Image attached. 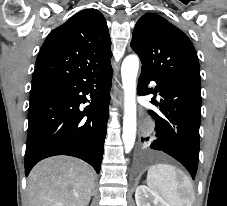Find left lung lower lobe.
Masks as SVG:
<instances>
[{
  "label": "left lung lower lobe",
  "mask_w": 227,
  "mask_h": 206,
  "mask_svg": "<svg viewBox=\"0 0 227 206\" xmlns=\"http://www.w3.org/2000/svg\"><path fill=\"white\" fill-rule=\"evenodd\" d=\"M151 80L157 83L152 92H159L162 99L159 103L161 113L148 111L155 119L157 137L149 148L161 150L178 160L194 179L199 158L200 86L142 69L137 88L139 95L149 94L147 85ZM151 103L158 104L156 101ZM142 140L148 141V138Z\"/></svg>",
  "instance_id": "left-lung-lower-lobe-1"
}]
</instances>
